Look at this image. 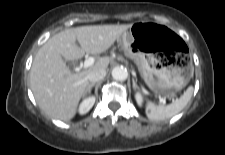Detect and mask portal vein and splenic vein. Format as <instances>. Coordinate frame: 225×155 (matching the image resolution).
Returning <instances> with one entry per match:
<instances>
[{"label":"portal vein and splenic vein","mask_w":225,"mask_h":155,"mask_svg":"<svg viewBox=\"0 0 225 155\" xmlns=\"http://www.w3.org/2000/svg\"><path fill=\"white\" fill-rule=\"evenodd\" d=\"M95 59L93 57H89L84 61L83 67L88 68L94 64ZM159 102L163 105L166 104V100L163 97H159Z\"/></svg>","instance_id":"18ae733b"}]
</instances>
